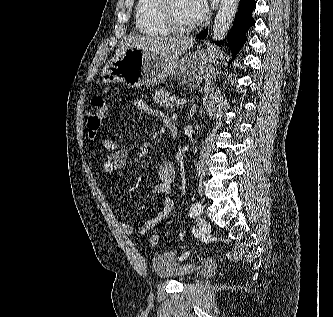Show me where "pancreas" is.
I'll use <instances>...</instances> for the list:
<instances>
[{"mask_svg": "<svg viewBox=\"0 0 333 317\" xmlns=\"http://www.w3.org/2000/svg\"><path fill=\"white\" fill-rule=\"evenodd\" d=\"M170 97L171 91L169 89L161 88L155 90L153 100L157 105L172 110L174 105L171 103Z\"/></svg>", "mask_w": 333, "mask_h": 317, "instance_id": "pancreas-1", "label": "pancreas"}]
</instances>
